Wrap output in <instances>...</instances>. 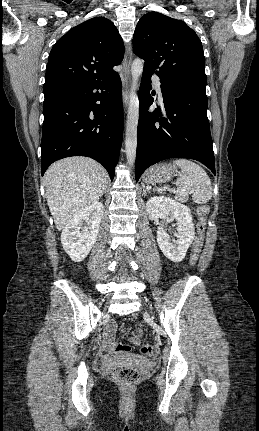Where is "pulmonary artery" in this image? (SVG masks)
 <instances>
[{
    "label": "pulmonary artery",
    "mask_w": 259,
    "mask_h": 431,
    "mask_svg": "<svg viewBox=\"0 0 259 431\" xmlns=\"http://www.w3.org/2000/svg\"><path fill=\"white\" fill-rule=\"evenodd\" d=\"M153 82L156 85V88L158 90V94L160 98H162V91H161V81L158 77H153Z\"/></svg>",
    "instance_id": "e3ab8cb5"
}]
</instances>
